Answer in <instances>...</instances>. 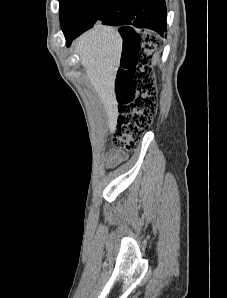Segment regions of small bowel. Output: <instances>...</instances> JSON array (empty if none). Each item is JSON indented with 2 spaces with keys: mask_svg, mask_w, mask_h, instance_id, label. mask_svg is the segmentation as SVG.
I'll return each mask as SVG.
<instances>
[{
  "mask_svg": "<svg viewBox=\"0 0 227 298\" xmlns=\"http://www.w3.org/2000/svg\"><path fill=\"white\" fill-rule=\"evenodd\" d=\"M127 153L121 149L112 148L105 154V162L108 167H115L127 159Z\"/></svg>",
  "mask_w": 227,
  "mask_h": 298,
  "instance_id": "small-bowel-1",
  "label": "small bowel"
}]
</instances>
